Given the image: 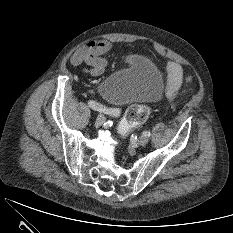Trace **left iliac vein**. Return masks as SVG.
<instances>
[{
  "label": "left iliac vein",
  "instance_id": "left-iliac-vein-1",
  "mask_svg": "<svg viewBox=\"0 0 233 233\" xmlns=\"http://www.w3.org/2000/svg\"><path fill=\"white\" fill-rule=\"evenodd\" d=\"M148 141H149L148 137L143 135V136L139 137L138 144L141 146H144L148 143Z\"/></svg>",
  "mask_w": 233,
  "mask_h": 233
}]
</instances>
